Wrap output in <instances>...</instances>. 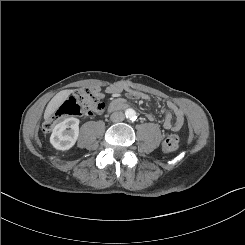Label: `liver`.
<instances>
[{
  "mask_svg": "<svg viewBox=\"0 0 245 245\" xmlns=\"http://www.w3.org/2000/svg\"><path fill=\"white\" fill-rule=\"evenodd\" d=\"M71 93H73V90L71 89L58 92L48 103L44 112V119L47 120L50 116H52Z\"/></svg>",
  "mask_w": 245,
  "mask_h": 245,
  "instance_id": "obj_1",
  "label": "liver"
}]
</instances>
